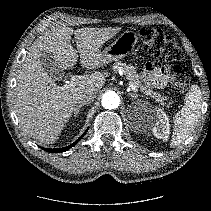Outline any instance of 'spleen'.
<instances>
[{
	"mask_svg": "<svg viewBox=\"0 0 211 211\" xmlns=\"http://www.w3.org/2000/svg\"><path fill=\"white\" fill-rule=\"evenodd\" d=\"M202 105V93L197 84H193L186 94L185 105L174 116V131L171 139V147L184 142L194 131Z\"/></svg>",
	"mask_w": 211,
	"mask_h": 211,
	"instance_id": "obj_1",
	"label": "spleen"
}]
</instances>
